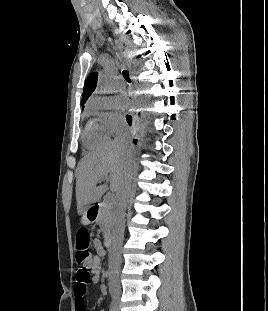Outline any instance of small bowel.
Wrapping results in <instances>:
<instances>
[{"instance_id": "small-bowel-1", "label": "small bowel", "mask_w": 268, "mask_h": 311, "mask_svg": "<svg viewBox=\"0 0 268 311\" xmlns=\"http://www.w3.org/2000/svg\"><path fill=\"white\" fill-rule=\"evenodd\" d=\"M93 246L96 254L93 256L89 264V270L91 272V283L96 284L99 282L103 273L102 259L105 256V250L101 242L96 238L93 240ZM84 296L85 294L80 293L79 285L76 283L74 286L75 311H86Z\"/></svg>"}]
</instances>
